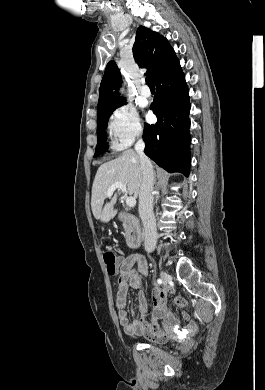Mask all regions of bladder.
I'll return each instance as SVG.
<instances>
[{
	"label": "bladder",
	"mask_w": 265,
	"mask_h": 390,
	"mask_svg": "<svg viewBox=\"0 0 265 390\" xmlns=\"http://www.w3.org/2000/svg\"><path fill=\"white\" fill-rule=\"evenodd\" d=\"M151 342H153V343H154V341H152V340H151ZM159 345H161V346H165V344H163V343H162V344H159Z\"/></svg>",
	"instance_id": "31cf9c89"
}]
</instances>
